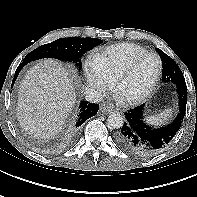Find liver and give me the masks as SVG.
<instances>
[{"instance_id": "6515ba94", "label": "liver", "mask_w": 197, "mask_h": 197, "mask_svg": "<svg viewBox=\"0 0 197 197\" xmlns=\"http://www.w3.org/2000/svg\"><path fill=\"white\" fill-rule=\"evenodd\" d=\"M73 76L54 59L27 71L18 91V121L40 140L57 135L72 110L76 93Z\"/></svg>"}]
</instances>
